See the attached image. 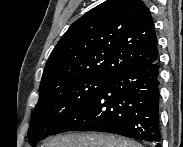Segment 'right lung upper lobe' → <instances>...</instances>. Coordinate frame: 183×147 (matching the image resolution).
I'll use <instances>...</instances> for the list:
<instances>
[{"label": "right lung upper lobe", "mask_w": 183, "mask_h": 147, "mask_svg": "<svg viewBox=\"0 0 183 147\" xmlns=\"http://www.w3.org/2000/svg\"><path fill=\"white\" fill-rule=\"evenodd\" d=\"M158 58L151 13L140 0H107L75 21L52 51L40 89L87 77L111 79Z\"/></svg>", "instance_id": "obj_1"}]
</instances>
